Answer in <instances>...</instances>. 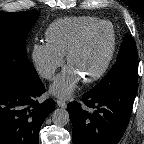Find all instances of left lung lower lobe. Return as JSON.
<instances>
[{"mask_svg": "<svg viewBox=\"0 0 144 144\" xmlns=\"http://www.w3.org/2000/svg\"><path fill=\"white\" fill-rule=\"evenodd\" d=\"M137 88L138 84L111 90L92 88L82 96V103H69L73 143L117 144L129 123Z\"/></svg>", "mask_w": 144, "mask_h": 144, "instance_id": "left-lung-lower-lobe-1", "label": "left lung lower lobe"}]
</instances>
